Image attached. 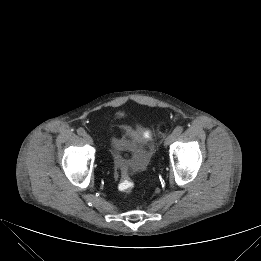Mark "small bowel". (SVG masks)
Wrapping results in <instances>:
<instances>
[{"label": "small bowel", "instance_id": "obj_1", "mask_svg": "<svg viewBox=\"0 0 261 261\" xmlns=\"http://www.w3.org/2000/svg\"><path fill=\"white\" fill-rule=\"evenodd\" d=\"M123 144H124V142H123V141H119V142H118V144H117V146H118V147H122V146H123Z\"/></svg>", "mask_w": 261, "mask_h": 261}]
</instances>
